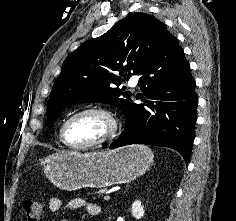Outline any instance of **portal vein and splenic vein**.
Wrapping results in <instances>:
<instances>
[{
  "label": "portal vein and splenic vein",
  "mask_w": 236,
  "mask_h": 221,
  "mask_svg": "<svg viewBox=\"0 0 236 221\" xmlns=\"http://www.w3.org/2000/svg\"><path fill=\"white\" fill-rule=\"evenodd\" d=\"M110 199V196L109 195H106L105 197H104V200H109Z\"/></svg>",
  "instance_id": "obj_1"
}]
</instances>
